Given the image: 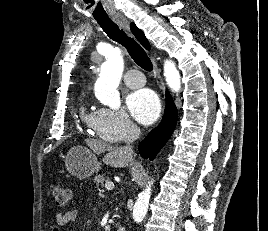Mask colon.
<instances>
[{"label": "colon", "instance_id": "colon-1", "mask_svg": "<svg viewBox=\"0 0 268 231\" xmlns=\"http://www.w3.org/2000/svg\"><path fill=\"white\" fill-rule=\"evenodd\" d=\"M51 193L56 205L61 208H65L67 206L70 199V192L67 188L55 184L51 187Z\"/></svg>", "mask_w": 268, "mask_h": 231}]
</instances>
